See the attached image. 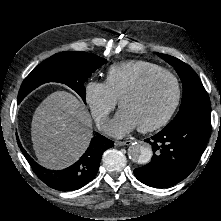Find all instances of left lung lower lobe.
<instances>
[{
    "mask_svg": "<svg viewBox=\"0 0 221 221\" xmlns=\"http://www.w3.org/2000/svg\"><path fill=\"white\" fill-rule=\"evenodd\" d=\"M211 121L189 119L172 129H163L151 139L153 157L134 170L142 183L156 188L175 185L195 169L210 138Z\"/></svg>",
    "mask_w": 221,
    "mask_h": 221,
    "instance_id": "obj_1",
    "label": "left lung lower lobe"
}]
</instances>
